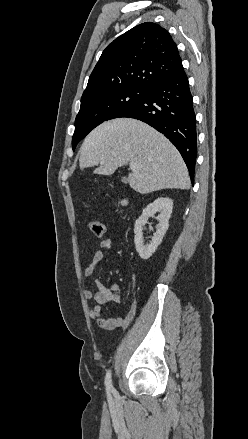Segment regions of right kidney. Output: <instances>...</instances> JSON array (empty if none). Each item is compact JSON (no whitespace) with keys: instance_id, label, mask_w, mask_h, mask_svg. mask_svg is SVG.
<instances>
[{"instance_id":"obj_1","label":"right kidney","mask_w":248,"mask_h":439,"mask_svg":"<svg viewBox=\"0 0 248 439\" xmlns=\"http://www.w3.org/2000/svg\"><path fill=\"white\" fill-rule=\"evenodd\" d=\"M173 209V200L168 197H160L153 203H150L142 212V215L136 220L134 226V243L139 256L147 260L156 251L157 247L161 244L164 235L169 227V219L171 217ZM159 212L157 220L159 222L157 230L154 233L152 241L148 245L143 243V227L147 223L148 219L155 213Z\"/></svg>"}]
</instances>
